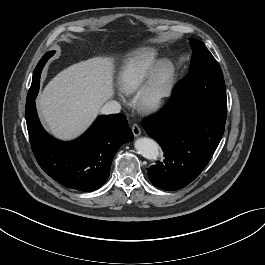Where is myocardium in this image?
<instances>
[{
	"mask_svg": "<svg viewBox=\"0 0 265 265\" xmlns=\"http://www.w3.org/2000/svg\"><path fill=\"white\" fill-rule=\"evenodd\" d=\"M174 82L175 68L172 62L158 61L137 91V108L145 113L159 111L171 97Z\"/></svg>",
	"mask_w": 265,
	"mask_h": 265,
	"instance_id": "obj_1",
	"label": "myocardium"
}]
</instances>
